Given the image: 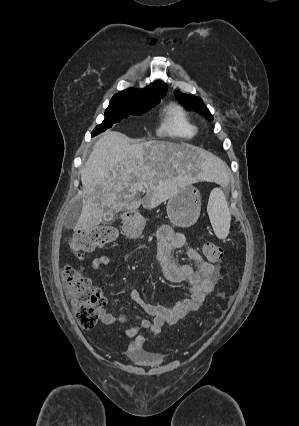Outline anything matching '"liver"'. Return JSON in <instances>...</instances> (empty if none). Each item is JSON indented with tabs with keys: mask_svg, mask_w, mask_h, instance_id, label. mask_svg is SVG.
<instances>
[{
	"mask_svg": "<svg viewBox=\"0 0 299 426\" xmlns=\"http://www.w3.org/2000/svg\"><path fill=\"white\" fill-rule=\"evenodd\" d=\"M224 181L227 165L215 155L185 143L151 140L129 144L119 132L108 131L95 143L81 169L83 206L75 229L98 226L105 207L154 208L194 180L190 175ZM140 191L146 196L141 199Z\"/></svg>",
	"mask_w": 299,
	"mask_h": 426,
	"instance_id": "1",
	"label": "liver"
}]
</instances>
